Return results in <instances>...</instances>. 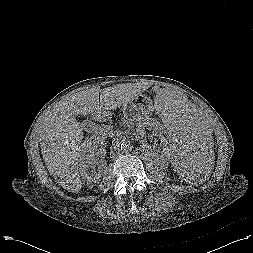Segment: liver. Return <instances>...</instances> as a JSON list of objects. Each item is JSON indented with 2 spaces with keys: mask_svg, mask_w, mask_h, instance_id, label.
<instances>
[{
  "mask_svg": "<svg viewBox=\"0 0 253 253\" xmlns=\"http://www.w3.org/2000/svg\"><path fill=\"white\" fill-rule=\"evenodd\" d=\"M148 89L142 83H123L113 87H93L60 101L40 125V147L49 173L64 189L78 193L82 188L79 152L84 125L78 114L98 117L135 100ZM160 92V91H159ZM158 92V93H159Z\"/></svg>",
  "mask_w": 253,
  "mask_h": 253,
  "instance_id": "1",
  "label": "liver"
}]
</instances>
